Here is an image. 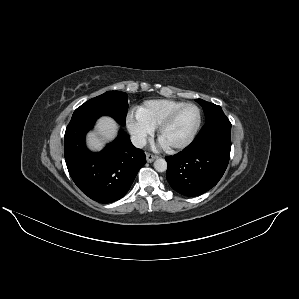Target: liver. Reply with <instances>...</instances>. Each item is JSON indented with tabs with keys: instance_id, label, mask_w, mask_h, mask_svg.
I'll list each match as a JSON object with an SVG mask.
<instances>
[{
	"instance_id": "obj_1",
	"label": "liver",
	"mask_w": 299,
	"mask_h": 299,
	"mask_svg": "<svg viewBox=\"0 0 299 299\" xmlns=\"http://www.w3.org/2000/svg\"><path fill=\"white\" fill-rule=\"evenodd\" d=\"M118 125L110 117L98 119L95 130L87 134V145L92 150H100L106 142L112 141L117 135Z\"/></svg>"
}]
</instances>
